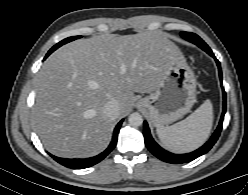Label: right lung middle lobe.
I'll return each instance as SVG.
<instances>
[{
  "mask_svg": "<svg viewBox=\"0 0 248 195\" xmlns=\"http://www.w3.org/2000/svg\"><path fill=\"white\" fill-rule=\"evenodd\" d=\"M78 38H81V36L68 37V38H66V39H64V40H62V41H60L59 43H57L56 45H54V46L50 49V51L47 53L46 57H48L53 51H55V50H56L57 48H59L60 46L66 44V43H68V42H71V41H73V40H76V39H78ZM46 57H45V58H46Z\"/></svg>",
  "mask_w": 248,
  "mask_h": 195,
  "instance_id": "obj_1",
  "label": "right lung middle lobe"
}]
</instances>
